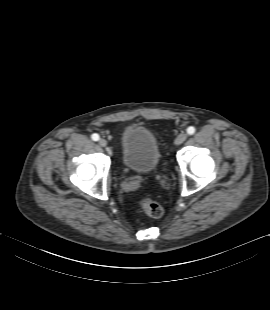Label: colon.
Segmentation results:
<instances>
[{
  "instance_id": "obj_1",
  "label": "colon",
  "mask_w": 270,
  "mask_h": 310,
  "mask_svg": "<svg viewBox=\"0 0 270 310\" xmlns=\"http://www.w3.org/2000/svg\"><path fill=\"white\" fill-rule=\"evenodd\" d=\"M140 208L144 214L152 218H160L164 213L162 205L151 198H143L140 201Z\"/></svg>"
}]
</instances>
